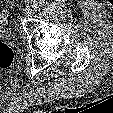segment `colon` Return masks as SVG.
<instances>
[{
    "label": "colon",
    "instance_id": "5ec220e1",
    "mask_svg": "<svg viewBox=\"0 0 113 113\" xmlns=\"http://www.w3.org/2000/svg\"><path fill=\"white\" fill-rule=\"evenodd\" d=\"M13 58V50L8 45L0 42V69L9 67Z\"/></svg>",
    "mask_w": 113,
    "mask_h": 113
}]
</instances>
